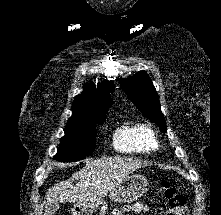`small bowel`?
Segmentation results:
<instances>
[{"mask_svg":"<svg viewBox=\"0 0 221 215\" xmlns=\"http://www.w3.org/2000/svg\"><path fill=\"white\" fill-rule=\"evenodd\" d=\"M148 210L147 205H144L142 203H135L132 205H125L119 209H116L113 211L112 215H123L124 212H135V213H146Z\"/></svg>","mask_w":221,"mask_h":215,"instance_id":"obj_1","label":"small bowel"}]
</instances>
